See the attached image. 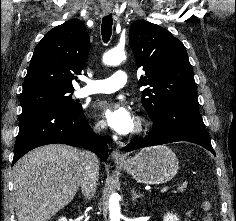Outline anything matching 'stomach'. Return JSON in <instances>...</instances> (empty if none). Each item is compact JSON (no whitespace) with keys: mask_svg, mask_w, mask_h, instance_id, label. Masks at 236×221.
I'll list each match as a JSON object with an SVG mask.
<instances>
[{"mask_svg":"<svg viewBox=\"0 0 236 221\" xmlns=\"http://www.w3.org/2000/svg\"><path fill=\"white\" fill-rule=\"evenodd\" d=\"M119 166L137 182L163 184L177 174L179 161L170 148L159 145L140 150Z\"/></svg>","mask_w":236,"mask_h":221,"instance_id":"0dacf381","label":"stomach"}]
</instances>
